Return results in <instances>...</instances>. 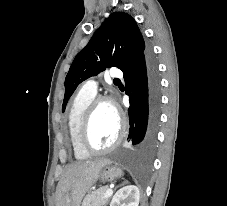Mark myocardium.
Instances as JSON below:
<instances>
[{
    "label": "myocardium",
    "mask_w": 227,
    "mask_h": 206,
    "mask_svg": "<svg viewBox=\"0 0 227 206\" xmlns=\"http://www.w3.org/2000/svg\"><path fill=\"white\" fill-rule=\"evenodd\" d=\"M110 104L116 111L118 121H119V130L116 139L113 143L105 148H96L90 142V127L92 118L96 109L101 104ZM125 133V120L123 115L121 114L119 108L117 107L114 100L108 96H96L94 99L88 104L87 108L85 109L83 116L80 121L79 131H78V141L81 148L89 154H103L107 153L113 149H115L122 141L123 136Z\"/></svg>",
    "instance_id": "1"
}]
</instances>
